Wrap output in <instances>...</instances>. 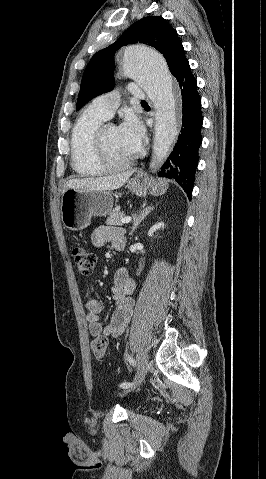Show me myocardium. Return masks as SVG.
I'll use <instances>...</instances> for the list:
<instances>
[{
	"label": "myocardium",
	"instance_id": "obj_1",
	"mask_svg": "<svg viewBox=\"0 0 266 479\" xmlns=\"http://www.w3.org/2000/svg\"><path fill=\"white\" fill-rule=\"evenodd\" d=\"M108 127L116 128L113 125H106L97 129L94 138V155L97 162L107 171H119L130 166L133 159L130 157L123 162H115L109 157L105 142V131Z\"/></svg>",
	"mask_w": 266,
	"mask_h": 479
}]
</instances>
